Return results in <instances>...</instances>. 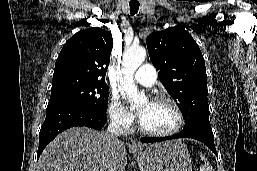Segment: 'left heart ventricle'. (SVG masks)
I'll use <instances>...</instances> for the list:
<instances>
[{
	"mask_svg": "<svg viewBox=\"0 0 257 171\" xmlns=\"http://www.w3.org/2000/svg\"><path fill=\"white\" fill-rule=\"evenodd\" d=\"M141 123L148 129L166 131L175 126L176 113L167 103L144 102L139 107Z\"/></svg>",
	"mask_w": 257,
	"mask_h": 171,
	"instance_id": "left-heart-ventricle-1",
	"label": "left heart ventricle"
}]
</instances>
